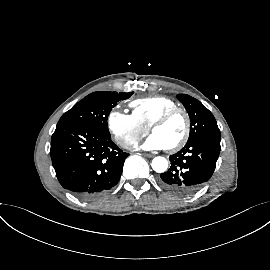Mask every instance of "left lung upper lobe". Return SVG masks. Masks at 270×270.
<instances>
[{
    "label": "left lung upper lobe",
    "mask_w": 270,
    "mask_h": 270,
    "mask_svg": "<svg viewBox=\"0 0 270 270\" xmlns=\"http://www.w3.org/2000/svg\"><path fill=\"white\" fill-rule=\"evenodd\" d=\"M177 98L186 108L191 121L187 142L204 137L220 138L213 114L200 101L186 94H178Z\"/></svg>",
    "instance_id": "left-lung-upper-lobe-1"
}]
</instances>
